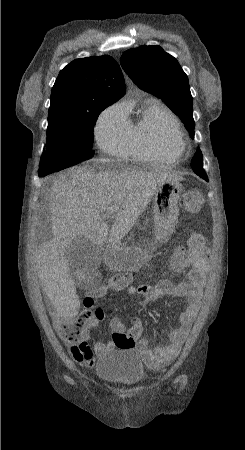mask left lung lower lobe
<instances>
[{
	"instance_id": "0a47b994",
	"label": "left lung lower lobe",
	"mask_w": 245,
	"mask_h": 450,
	"mask_svg": "<svg viewBox=\"0 0 245 450\" xmlns=\"http://www.w3.org/2000/svg\"><path fill=\"white\" fill-rule=\"evenodd\" d=\"M200 177H202L204 180L208 181L207 175H203V176H200Z\"/></svg>"
}]
</instances>
